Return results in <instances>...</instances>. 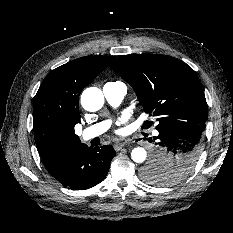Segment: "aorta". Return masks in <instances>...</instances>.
<instances>
[{"instance_id": "762f6f07", "label": "aorta", "mask_w": 233, "mask_h": 233, "mask_svg": "<svg viewBox=\"0 0 233 233\" xmlns=\"http://www.w3.org/2000/svg\"><path fill=\"white\" fill-rule=\"evenodd\" d=\"M81 104L83 108L90 112L100 110L104 104V95L96 87H90L83 91L81 95ZM147 157V152L142 147H136L131 152V158L136 163H142Z\"/></svg>"}]
</instances>
